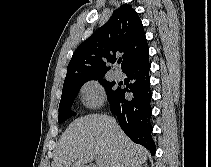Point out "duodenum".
I'll use <instances>...</instances> for the list:
<instances>
[{
    "mask_svg": "<svg viewBox=\"0 0 211 167\" xmlns=\"http://www.w3.org/2000/svg\"><path fill=\"white\" fill-rule=\"evenodd\" d=\"M87 167H97L96 165H89V166H87Z\"/></svg>",
    "mask_w": 211,
    "mask_h": 167,
    "instance_id": "1",
    "label": "duodenum"
}]
</instances>
